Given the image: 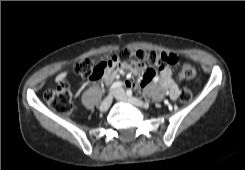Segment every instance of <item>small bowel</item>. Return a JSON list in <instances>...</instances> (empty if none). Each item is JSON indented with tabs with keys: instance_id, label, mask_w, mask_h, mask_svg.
I'll use <instances>...</instances> for the list:
<instances>
[{
	"instance_id": "c3829d8e",
	"label": "small bowel",
	"mask_w": 245,
	"mask_h": 170,
	"mask_svg": "<svg viewBox=\"0 0 245 170\" xmlns=\"http://www.w3.org/2000/svg\"><path fill=\"white\" fill-rule=\"evenodd\" d=\"M123 69L120 67H113L106 71L104 75V80L107 84H110L118 75L123 74ZM137 71H134V74H137ZM153 76L150 72L146 71L141 78V85L146 86L150 81H152ZM159 82L164 90L167 91L171 101H176L179 96V87L178 82L175 79L174 71L171 67H165L161 70L159 75ZM124 85L126 87H132L133 82L128 78Z\"/></svg>"
}]
</instances>
